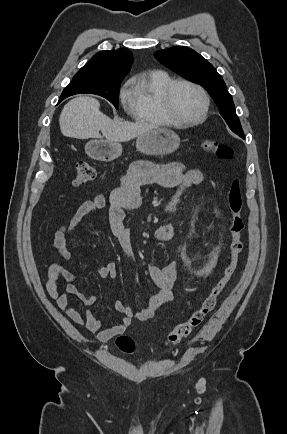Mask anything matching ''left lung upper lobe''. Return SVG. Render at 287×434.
<instances>
[{
  "label": "left lung upper lobe",
  "mask_w": 287,
  "mask_h": 434,
  "mask_svg": "<svg viewBox=\"0 0 287 434\" xmlns=\"http://www.w3.org/2000/svg\"><path fill=\"white\" fill-rule=\"evenodd\" d=\"M155 58L187 80L203 86L219 107L221 116L230 129L244 137V133L235 111V106L226 84L216 69L200 54L189 47L176 46L157 51Z\"/></svg>",
  "instance_id": "1"
}]
</instances>
